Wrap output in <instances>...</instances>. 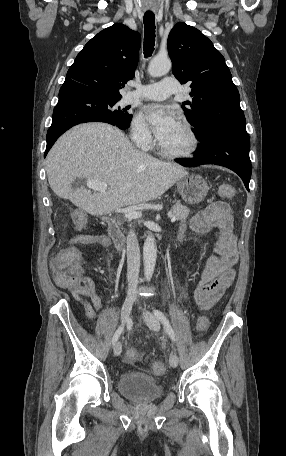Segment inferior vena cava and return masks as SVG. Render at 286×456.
<instances>
[{"label": "inferior vena cava", "instance_id": "inferior-vena-cava-1", "mask_svg": "<svg viewBox=\"0 0 286 456\" xmlns=\"http://www.w3.org/2000/svg\"><path fill=\"white\" fill-rule=\"evenodd\" d=\"M127 246V281L129 297H135L137 293L138 276L140 270V249L137 236L130 230L126 240Z\"/></svg>", "mask_w": 286, "mask_h": 456}]
</instances>
